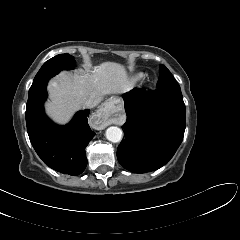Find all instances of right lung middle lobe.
<instances>
[{"label": "right lung middle lobe", "mask_w": 240, "mask_h": 240, "mask_svg": "<svg viewBox=\"0 0 240 240\" xmlns=\"http://www.w3.org/2000/svg\"><path fill=\"white\" fill-rule=\"evenodd\" d=\"M74 57L69 54L57 55L44 63L39 72L36 74L33 84L29 91L34 90L45 80L58 74L61 70H69L74 68Z\"/></svg>", "instance_id": "1"}]
</instances>
